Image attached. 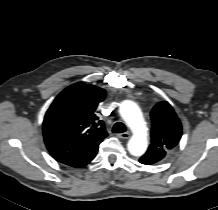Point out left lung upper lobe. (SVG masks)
Masks as SVG:
<instances>
[{
    "label": "left lung upper lobe",
    "instance_id": "1",
    "mask_svg": "<svg viewBox=\"0 0 218 210\" xmlns=\"http://www.w3.org/2000/svg\"><path fill=\"white\" fill-rule=\"evenodd\" d=\"M151 144L140 158L146 165L162 160L178 143L182 135V125L172 106L160 102L151 111Z\"/></svg>",
    "mask_w": 218,
    "mask_h": 210
}]
</instances>
